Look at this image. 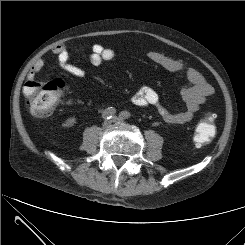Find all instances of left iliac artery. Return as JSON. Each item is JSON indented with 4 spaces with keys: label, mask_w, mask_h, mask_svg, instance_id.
<instances>
[{
    "label": "left iliac artery",
    "mask_w": 245,
    "mask_h": 245,
    "mask_svg": "<svg viewBox=\"0 0 245 245\" xmlns=\"http://www.w3.org/2000/svg\"><path fill=\"white\" fill-rule=\"evenodd\" d=\"M122 119L130 118L131 114L128 111H122L119 115Z\"/></svg>",
    "instance_id": "1"
}]
</instances>
